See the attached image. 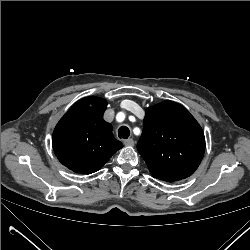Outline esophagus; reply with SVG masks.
I'll return each mask as SVG.
<instances>
[{
  "mask_svg": "<svg viewBox=\"0 0 250 250\" xmlns=\"http://www.w3.org/2000/svg\"><path fill=\"white\" fill-rule=\"evenodd\" d=\"M124 145L127 146V147L134 146L133 139H126V140H124Z\"/></svg>",
  "mask_w": 250,
  "mask_h": 250,
  "instance_id": "esophagus-1",
  "label": "esophagus"
}]
</instances>
